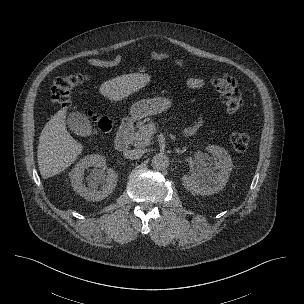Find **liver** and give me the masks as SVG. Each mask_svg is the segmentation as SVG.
Listing matches in <instances>:
<instances>
[{"label": "liver", "instance_id": "1", "mask_svg": "<svg viewBox=\"0 0 304 304\" xmlns=\"http://www.w3.org/2000/svg\"><path fill=\"white\" fill-rule=\"evenodd\" d=\"M149 82L148 74L132 73L104 82L99 90L110 101H120ZM66 113V109L59 110L46 123L39 137L37 159L40 174L44 179L67 169L82 153V144L66 129Z\"/></svg>", "mask_w": 304, "mask_h": 304}]
</instances>
